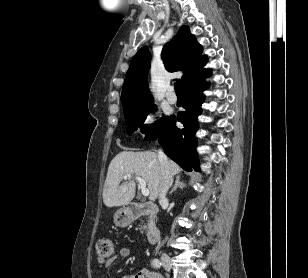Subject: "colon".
Segmentation results:
<instances>
[{"mask_svg":"<svg viewBox=\"0 0 308 278\" xmlns=\"http://www.w3.org/2000/svg\"><path fill=\"white\" fill-rule=\"evenodd\" d=\"M115 250L114 242L109 238L100 239L96 243V254L100 261L109 259Z\"/></svg>","mask_w":308,"mask_h":278,"instance_id":"1","label":"colon"}]
</instances>
